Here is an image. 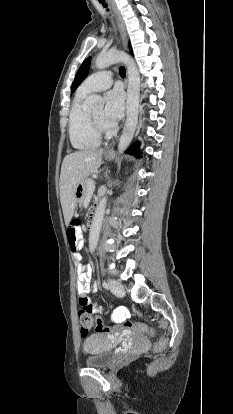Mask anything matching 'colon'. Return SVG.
<instances>
[{
	"label": "colon",
	"instance_id": "colon-1",
	"mask_svg": "<svg viewBox=\"0 0 233 414\" xmlns=\"http://www.w3.org/2000/svg\"><path fill=\"white\" fill-rule=\"evenodd\" d=\"M79 222L78 220L72 221L67 230V236L72 252L79 250L82 243V235H79ZM79 322L81 328V335L86 336L88 332L94 329L97 333L115 335L125 331L139 332L155 335V330L142 322L124 321L120 326L107 327L103 324L102 320L93 315V307L91 302L86 297H80L79 299Z\"/></svg>",
	"mask_w": 233,
	"mask_h": 414
}]
</instances>
